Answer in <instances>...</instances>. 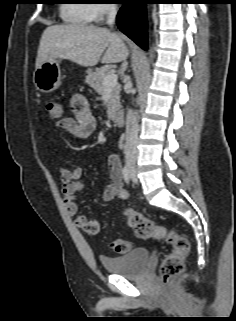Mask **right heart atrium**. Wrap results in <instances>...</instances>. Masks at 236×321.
Masks as SVG:
<instances>
[{
  "mask_svg": "<svg viewBox=\"0 0 236 321\" xmlns=\"http://www.w3.org/2000/svg\"><path fill=\"white\" fill-rule=\"evenodd\" d=\"M96 3L91 5L89 14L93 21H101L104 17L115 10L114 3L111 0H95Z\"/></svg>",
  "mask_w": 236,
  "mask_h": 321,
  "instance_id": "1",
  "label": "right heart atrium"
}]
</instances>
